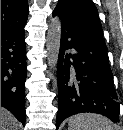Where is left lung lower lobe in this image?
Listing matches in <instances>:
<instances>
[{
    "label": "left lung lower lobe",
    "instance_id": "obj_1",
    "mask_svg": "<svg viewBox=\"0 0 123 130\" xmlns=\"http://www.w3.org/2000/svg\"><path fill=\"white\" fill-rule=\"evenodd\" d=\"M53 16H58L62 25L56 129L65 118L85 112L119 122V103L106 44L74 30L57 11H53Z\"/></svg>",
    "mask_w": 123,
    "mask_h": 130
}]
</instances>
